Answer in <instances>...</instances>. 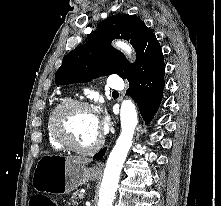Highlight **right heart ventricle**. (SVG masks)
Returning a JSON list of instances; mask_svg holds the SVG:
<instances>
[{"label": "right heart ventricle", "instance_id": "right-heart-ventricle-1", "mask_svg": "<svg viewBox=\"0 0 221 206\" xmlns=\"http://www.w3.org/2000/svg\"><path fill=\"white\" fill-rule=\"evenodd\" d=\"M62 103V102H61ZM59 105V104H58ZM57 105V106H58ZM57 106H54L49 115H48V118H47V122H46V132H47V138H48V141H49V144L51 145V147H53L54 149H57V150H63L65 147L63 145H61L54 137L52 131H51V126H50V119H51V115L54 111V109L57 107Z\"/></svg>", "mask_w": 221, "mask_h": 206}]
</instances>
